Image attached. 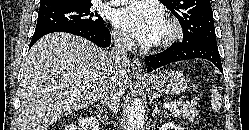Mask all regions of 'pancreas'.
<instances>
[{"instance_id": "cf45deb5", "label": "pancreas", "mask_w": 249, "mask_h": 130, "mask_svg": "<svg viewBox=\"0 0 249 130\" xmlns=\"http://www.w3.org/2000/svg\"><path fill=\"white\" fill-rule=\"evenodd\" d=\"M171 112L175 117H182L193 123H198L199 112L195 103H186L179 108L172 109Z\"/></svg>"}]
</instances>
